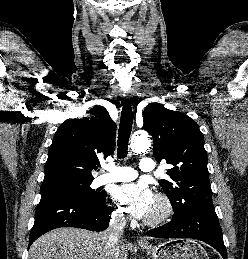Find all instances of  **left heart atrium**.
<instances>
[{
	"instance_id": "1",
	"label": "left heart atrium",
	"mask_w": 248,
	"mask_h": 259,
	"mask_svg": "<svg viewBox=\"0 0 248 259\" xmlns=\"http://www.w3.org/2000/svg\"><path fill=\"white\" fill-rule=\"evenodd\" d=\"M113 198L137 218L147 217L155 196L144 184H123L116 186L112 192Z\"/></svg>"
}]
</instances>
